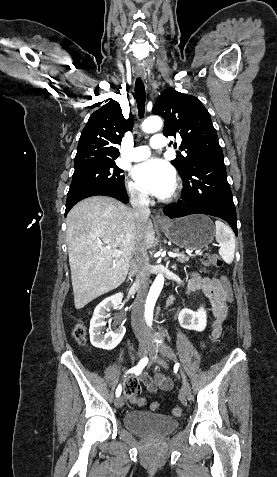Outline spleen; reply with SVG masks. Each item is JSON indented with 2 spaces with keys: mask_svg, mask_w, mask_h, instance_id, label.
<instances>
[{
  "mask_svg": "<svg viewBox=\"0 0 277 477\" xmlns=\"http://www.w3.org/2000/svg\"><path fill=\"white\" fill-rule=\"evenodd\" d=\"M216 241L220 244L219 255L227 263L231 264L235 254V238L232 230L223 222L216 221Z\"/></svg>",
  "mask_w": 277,
  "mask_h": 477,
  "instance_id": "3e777b00",
  "label": "spleen"
}]
</instances>
